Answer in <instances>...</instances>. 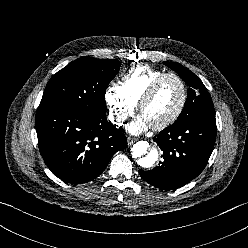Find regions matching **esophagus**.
Segmentation results:
<instances>
[{
    "label": "esophagus",
    "instance_id": "34e87169",
    "mask_svg": "<svg viewBox=\"0 0 248 248\" xmlns=\"http://www.w3.org/2000/svg\"><path fill=\"white\" fill-rule=\"evenodd\" d=\"M137 141L136 138H132V137H128L127 138V143L128 145H132L133 143H135Z\"/></svg>",
    "mask_w": 248,
    "mask_h": 248
}]
</instances>
